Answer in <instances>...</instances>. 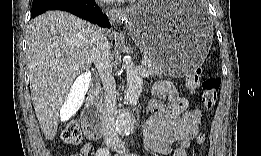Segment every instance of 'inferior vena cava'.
Listing matches in <instances>:
<instances>
[{"label":"inferior vena cava","mask_w":261,"mask_h":156,"mask_svg":"<svg viewBox=\"0 0 261 156\" xmlns=\"http://www.w3.org/2000/svg\"><path fill=\"white\" fill-rule=\"evenodd\" d=\"M92 56L104 89L102 129L105 141L107 145L119 144L121 141L115 129L117 100L112 56L107 37L100 30L94 34Z\"/></svg>","instance_id":"inferior-vena-cava-1"}]
</instances>
